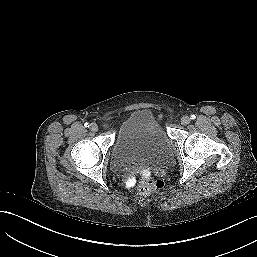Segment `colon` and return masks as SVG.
Returning <instances> with one entry per match:
<instances>
[{"instance_id":"5ec220e1","label":"colon","mask_w":257,"mask_h":257,"mask_svg":"<svg viewBox=\"0 0 257 257\" xmlns=\"http://www.w3.org/2000/svg\"><path fill=\"white\" fill-rule=\"evenodd\" d=\"M164 183L159 179L144 178L138 184V193L142 196L149 195L163 188Z\"/></svg>"}]
</instances>
